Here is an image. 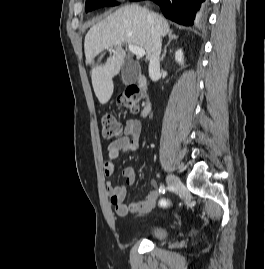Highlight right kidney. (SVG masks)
Segmentation results:
<instances>
[{"label":"right kidney","instance_id":"ca27d5eb","mask_svg":"<svg viewBox=\"0 0 265 269\" xmlns=\"http://www.w3.org/2000/svg\"><path fill=\"white\" fill-rule=\"evenodd\" d=\"M175 61L181 65H183L184 63V57H183V52H182V49H178L176 52H175Z\"/></svg>","mask_w":265,"mask_h":269}]
</instances>
